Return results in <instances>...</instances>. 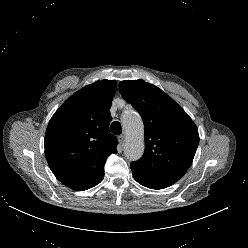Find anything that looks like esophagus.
<instances>
[{
	"label": "esophagus",
	"instance_id": "obj_1",
	"mask_svg": "<svg viewBox=\"0 0 248 248\" xmlns=\"http://www.w3.org/2000/svg\"><path fill=\"white\" fill-rule=\"evenodd\" d=\"M118 141L120 143V145H124V142H125V136L124 135H119L118 136Z\"/></svg>",
	"mask_w": 248,
	"mask_h": 248
}]
</instances>
